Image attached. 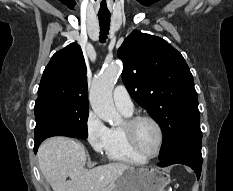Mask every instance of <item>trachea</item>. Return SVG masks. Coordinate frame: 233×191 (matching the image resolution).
<instances>
[{"mask_svg":"<svg viewBox=\"0 0 233 191\" xmlns=\"http://www.w3.org/2000/svg\"><path fill=\"white\" fill-rule=\"evenodd\" d=\"M100 24V42L105 43L109 34L110 14H98Z\"/></svg>","mask_w":233,"mask_h":191,"instance_id":"3493384b","label":"trachea"}]
</instances>
